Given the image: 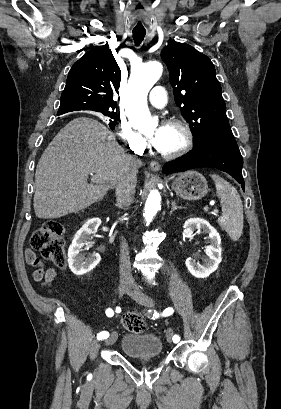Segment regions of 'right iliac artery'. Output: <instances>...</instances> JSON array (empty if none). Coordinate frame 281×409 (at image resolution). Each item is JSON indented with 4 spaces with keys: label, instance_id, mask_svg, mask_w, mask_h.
<instances>
[{
    "label": "right iliac artery",
    "instance_id": "obj_1",
    "mask_svg": "<svg viewBox=\"0 0 281 409\" xmlns=\"http://www.w3.org/2000/svg\"><path fill=\"white\" fill-rule=\"evenodd\" d=\"M106 315H107L108 317H112V316L114 315L113 310H112L111 308H108V309L106 310ZM108 337H109V333H108L107 331H102V332H100V333L98 334V336H97V338H98L99 340H101V339H107Z\"/></svg>",
    "mask_w": 281,
    "mask_h": 409
}]
</instances>
